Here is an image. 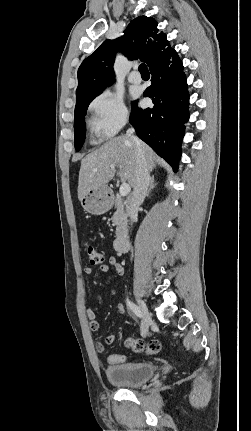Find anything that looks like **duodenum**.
<instances>
[{
	"label": "duodenum",
	"instance_id": "obj_1",
	"mask_svg": "<svg viewBox=\"0 0 251 431\" xmlns=\"http://www.w3.org/2000/svg\"><path fill=\"white\" fill-rule=\"evenodd\" d=\"M114 248L120 253H126L130 248L129 237L126 232L120 233L114 240Z\"/></svg>",
	"mask_w": 251,
	"mask_h": 431
}]
</instances>
